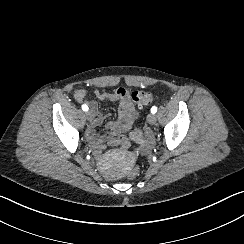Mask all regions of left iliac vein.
I'll use <instances>...</instances> for the list:
<instances>
[{"mask_svg":"<svg viewBox=\"0 0 244 244\" xmlns=\"http://www.w3.org/2000/svg\"><path fill=\"white\" fill-rule=\"evenodd\" d=\"M156 120H157V116L154 114V113H150L148 116H147V122L151 125L155 124L156 123Z\"/></svg>","mask_w":244,"mask_h":244,"instance_id":"obj_1","label":"left iliac vein"}]
</instances>
